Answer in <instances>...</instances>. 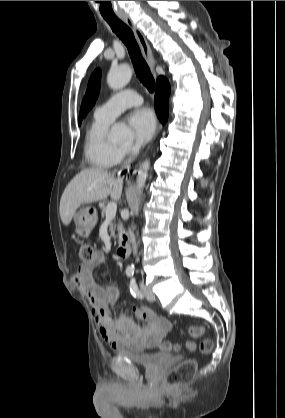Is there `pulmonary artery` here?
Wrapping results in <instances>:
<instances>
[{
  "instance_id": "e3ab8cb5",
  "label": "pulmonary artery",
  "mask_w": 285,
  "mask_h": 418,
  "mask_svg": "<svg viewBox=\"0 0 285 418\" xmlns=\"http://www.w3.org/2000/svg\"><path fill=\"white\" fill-rule=\"evenodd\" d=\"M142 102V97L136 92L132 90L123 91L99 106L95 111V117L112 122L123 110L140 105Z\"/></svg>"
}]
</instances>
